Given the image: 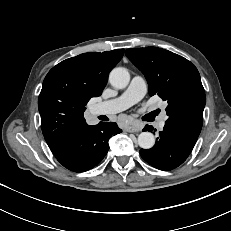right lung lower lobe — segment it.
<instances>
[{
	"label": "right lung lower lobe",
	"mask_w": 231,
	"mask_h": 231,
	"mask_svg": "<svg viewBox=\"0 0 231 231\" xmlns=\"http://www.w3.org/2000/svg\"><path fill=\"white\" fill-rule=\"evenodd\" d=\"M121 132L114 122L86 125L70 133L51 151L67 169L87 171L100 163L107 154L109 138Z\"/></svg>",
	"instance_id": "obj_1"
}]
</instances>
